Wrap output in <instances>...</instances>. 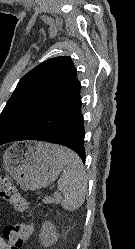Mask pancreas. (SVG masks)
Returning a JSON list of instances; mask_svg holds the SVG:
<instances>
[{"label": "pancreas", "instance_id": "1", "mask_svg": "<svg viewBox=\"0 0 135 249\" xmlns=\"http://www.w3.org/2000/svg\"><path fill=\"white\" fill-rule=\"evenodd\" d=\"M54 199L50 198V197H45V199H43V203L48 204V203H53Z\"/></svg>", "mask_w": 135, "mask_h": 249}]
</instances>
